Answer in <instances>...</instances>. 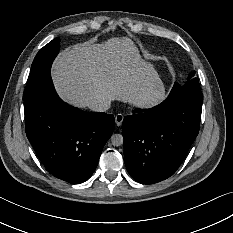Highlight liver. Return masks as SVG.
<instances>
[{"label": "liver", "mask_w": 233, "mask_h": 233, "mask_svg": "<svg viewBox=\"0 0 233 233\" xmlns=\"http://www.w3.org/2000/svg\"><path fill=\"white\" fill-rule=\"evenodd\" d=\"M58 97L70 106L89 109L98 99L148 109L164 98L152 90L158 74L146 71L144 58L130 37L87 40L61 50L51 66Z\"/></svg>", "instance_id": "liver-1"}]
</instances>
